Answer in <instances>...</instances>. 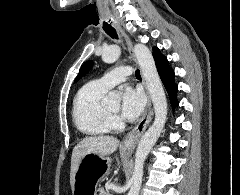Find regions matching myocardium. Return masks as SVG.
I'll use <instances>...</instances> for the list:
<instances>
[{
    "label": "myocardium",
    "instance_id": "myocardium-1",
    "mask_svg": "<svg viewBox=\"0 0 240 195\" xmlns=\"http://www.w3.org/2000/svg\"><path fill=\"white\" fill-rule=\"evenodd\" d=\"M106 110L110 116L111 124H114V126H116V123L119 120L118 112H113L107 105Z\"/></svg>",
    "mask_w": 240,
    "mask_h": 195
}]
</instances>
